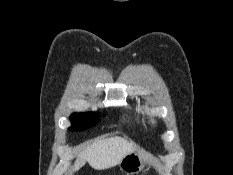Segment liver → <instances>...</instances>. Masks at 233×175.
Instances as JSON below:
<instances>
[{"label": "liver", "mask_w": 233, "mask_h": 175, "mask_svg": "<svg viewBox=\"0 0 233 175\" xmlns=\"http://www.w3.org/2000/svg\"><path fill=\"white\" fill-rule=\"evenodd\" d=\"M134 149L132 143L120 137L98 139L79 154L73 170L78 171L86 162L95 170L114 167Z\"/></svg>", "instance_id": "6515ba94"}]
</instances>
